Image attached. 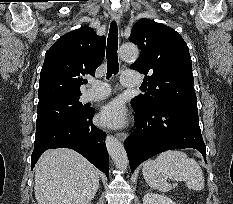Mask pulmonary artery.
Wrapping results in <instances>:
<instances>
[{
  "instance_id": "pulmonary-artery-1",
  "label": "pulmonary artery",
  "mask_w": 233,
  "mask_h": 204,
  "mask_svg": "<svg viewBox=\"0 0 233 204\" xmlns=\"http://www.w3.org/2000/svg\"><path fill=\"white\" fill-rule=\"evenodd\" d=\"M121 83L124 86H135L141 83V79L140 76L135 73L126 72L122 75ZM89 84L90 88L82 95L83 101L101 100L110 94V88L108 84L104 82L91 80Z\"/></svg>"
}]
</instances>
